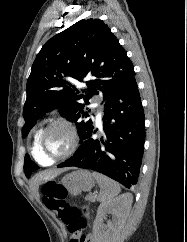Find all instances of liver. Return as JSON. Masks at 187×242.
<instances>
[{
  "label": "liver",
  "instance_id": "liver-1",
  "mask_svg": "<svg viewBox=\"0 0 187 242\" xmlns=\"http://www.w3.org/2000/svg\"><path fill=\"white\" fill-rule=\"evenodd\" d=\"M63 171L64 170L57 169V170H53V171L41 172L34 177L33 183L38 187V185L40 183H42L43 181H48L50 179H53L55 176L61 174Z\"/></svg>",
  "mask_w": 187,
  "mask_h": 242
}]
</instances>
